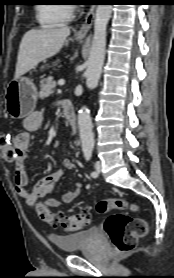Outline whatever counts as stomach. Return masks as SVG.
I'll return each mask as SVG.
<instances>
[{"mask_svg":"<svg viewBox=\"0 0 174 278\" xmlns=\"http://www.w3.org/2000/svg\"><path fill=\"white\" fill-rule=\"evenodd\" d=\"M83 38L84 36L75 37L77 41ZM37 98V88L30 78H14L5 91V109L12 119L25 118L34 111Z\"/></svg>","mask_w":174,"mask_h":278,"instance_id":"0dacf381","label":"stomach"}]
</instances>
